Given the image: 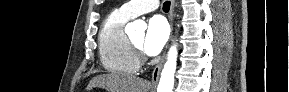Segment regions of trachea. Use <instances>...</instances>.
Masks as SVG:
<instances>
[{"instance_id":"obj_1","label":"trachea","mask_w":289,"mask_h":92,"mask_svg":"<svg viewBox=\"0 0 289 92\" xmlns=\"http://www.w3.org/2000/svg\"><path fill=\"white\" fill-rule=\"evenodd\" d=\"M170 9V1H166L163 4V11L168 12Z\"/></svg>"}]
</instances>
